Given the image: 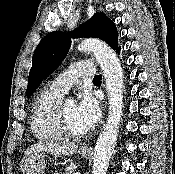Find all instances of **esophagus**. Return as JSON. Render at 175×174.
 <instances>
[{"instance_id":"esophagus-1","label":"esophagus","mask_w":175,"mask_h":174,"mask_svg":"<svg viewBox=\"0 0 175 174\" xmlns=\"http://www.w3.org/2000/svg\"><path fill=\"white\" fill-rule=\"evenodd\" d=\"M105 104H106V100H105ZM83 148L88 149V148H89V146H88V145H84V146H83Z\"/></svg>"}]
</instances>
